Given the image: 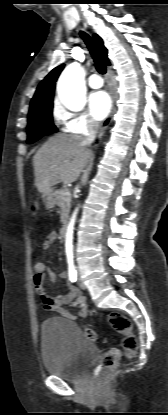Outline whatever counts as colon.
Wrapping results in <instances>:
<instances>
[{
    "instance_id": "1",
    "label": "colon",
    "mask_w": 168,
    "mask_h": 415,
    "mask_svg": "<svg viewBox=\"0 0 168 415\" xmlns=\"http://www.w3.org/2000/svg\"><path fill=\"white\" fill-rule=\"evenodd\" d=\"M45 265L46 262L44 259L35 260L31 266L33 283L43 282L45 275V270L43 268ZM108 320L116 331L124 335L122 349L113 348L103 354L98 364L93 369L92 375L94 378L99 377L105 370L113 367L122 355H133L138 347L137 339L131 332L132 324L128 317L120 313L112 312L108 314ZM84 335L91 341H95L97 339L96 333L90 328L84 329Z\"/></svg>"
}]
</instances>
